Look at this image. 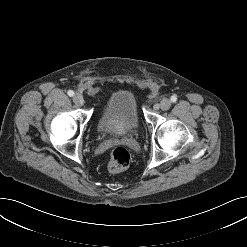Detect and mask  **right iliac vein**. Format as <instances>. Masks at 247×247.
I'll return each instance as SVG.
<instances>
[{
	"label": "right iliac vein",
	"mask_w": 247,
	"mask_h": 247,
	"mask_svg": "<svg viewBox=\"0 0 247 247\" xmlns=\"http://www.w3.org/2000/svg\"><path fill=\"white\" fill-rule=\"evenodd\" d=\"M73 101L75 104H77L79 106H82L84 104L83 96L81 94H78V93L73 96Z\"/></svg>",
	"instance_id": "right-iliac-vein-1"
}]
</instances>
